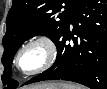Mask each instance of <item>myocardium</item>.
Here are the masks:
<instances>
[{"label": "myocardium", "mask_w": 107, "mask_h": 89, "mask_svg": "<svg viewBox=\"0 0 107 89\" xmlns=\"http://www.w3.org/2000/svg\"><path fill=\"white\" fill-rule=\"evenodd\" d=\"M32 45H41L44 47V49L46 51L45 60L42 63V65H40L36 69L31 70V71H23L21 69L20 63H19L20 57L23 54V52ZM56 57H57V47H56V44L53 41V39L51 37H49L48 35L39 34V35H35V36L29 38L27 41H25L20 46V48L18 49V51L15 55V58H14V66L17 69V71L20 72L21 74H23L25 76H33V75L42 73L45 70H47L48 68H50L53 65V63L55 62Z\"/></svg>", "instance_id": "1"}]
</instances>
